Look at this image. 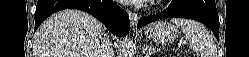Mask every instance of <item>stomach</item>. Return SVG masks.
Instances as JSON below:
<instances>
[{
    "label": "stomach",
    "mask_w": 249,
    "mask_h": 57,
    "mask_svg": "<svg viewBox=\"0 0 249 57\" xmlns=\"http://www.w3.org/2000/svg\"><path fill=\"white\" fill-rule=\"evenodd\" d=\"M146 36L157 43H172L179 34L178 28L171 23L158 21L149 25L145 31Z\"/></svg>",
    "instance_id": "1"
}]
</instances>
